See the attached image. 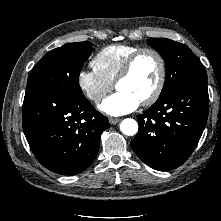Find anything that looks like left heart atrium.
<instances>
[{"instance_id": "39dd6f15", "label": "left heart atrium", "mask_w": 221, "mask_h": 221, "mask_svg": "<svg viewBox=\"0 0 221 221\" xmlns=\"http://www.w3.org/2000/svg\"><path fill=\"white\" fill-rule=\"evenodd\" d=\"M140 104L141 101L134 95L118 90L105 99L99 108L111 116H121L136 110Z\"/></svg>"}]
</instances>
